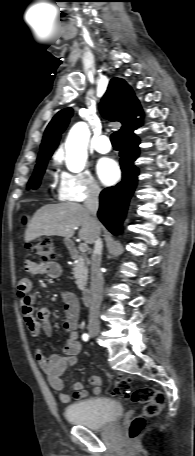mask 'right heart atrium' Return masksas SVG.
<instances>
[{
	"label": "right heart atrium",
	"mask_w": 195,
	"mask_h": 456,
	"mask_svg": "<svg viewBox=\"0 0 195 456\" xmlns=\"http://www.w3.org/2000/svg\"><path fill=\"white\" fill-rule=\"evenodd\" d=\"M101 188L93 176L87 172L70 173L63 171L57 187V197L61 201L82 202L99 196Z\"/></svg>",
	"instance_id": "obj_1"
}]
</instances>
